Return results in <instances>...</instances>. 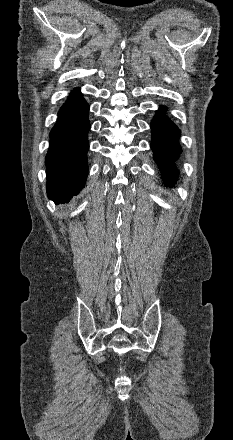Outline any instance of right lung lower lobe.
<instances>
[{
	"label": "right lung lower lobe",
	"mask_w": 233,
	"mask_h": 440,
	"mask_svg": "<svg viewBox=\"0 0 233 440\" xmlns=\"http://www.w3.org/2000/svg\"><path fill=\"white\" fill-rule=\"evenodd\" d=\"M79 93V89L71 93L50 132L46 156L47 193L57 203L77 195L88 174L89 106Z\"/></svg>",
	"instance_id": "obj_1"
}]
</instances>
